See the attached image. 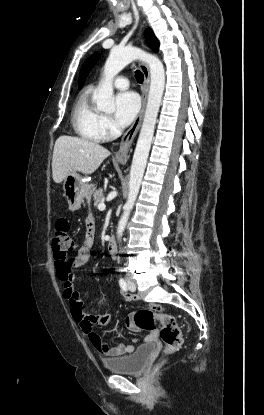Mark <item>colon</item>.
I'll use <instances>...</instances> for the list:
<instances>
[{"instance_id": "colon-1", "label": "colon", "mask_w": 264, "mask_h": 415, "mask_svg": "<svg viewBox=\"0 0 264 415\" xmlns=\"http://www.w3.org/2000/svg\"><path fill=\"white\" fill-rule=\"evenodd\" d=\"M53 247L58 260L65 259L74 249L70 224L66 218H60L56 223ZM132 320L144 329H154L156 324L160 323L165 353L174 352L182 345V334L178 322L172 315L162 312L159 307L137 311L133 314Z\"/></svg>"}]
</instances>
